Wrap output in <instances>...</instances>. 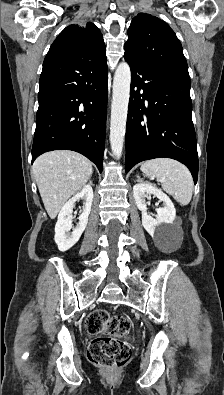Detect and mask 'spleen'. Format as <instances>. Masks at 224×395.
Masks as SVG:
<instances>
[{"label":"spleen","mask_w":224,"mask_h":395,"mask_svg":"<svg viewBox=\"0 0 224 395\" xmlns=\"http://www.w3.org/2000/svg\"><path fill=\"white\" fill-rule=\"evenodd\" d=\"M141 171L146 176L156 178L163 190L172 195L180 204L187 205L193 193V178L182 163L168 158L145 161Z\"/></svg>","instance_id":"1"}]
</instances>
